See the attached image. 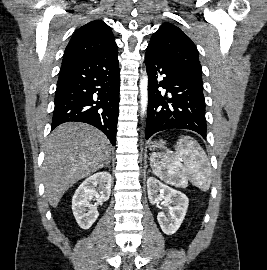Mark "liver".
Listing matches in <instances>:
<instances>
[{"label":"liver","instance_id":"obj_1","mask_svg":"<svg viewBox=\"0 0 267 270\" xmlns=\"http://www.w3.org/2000/svg\"><path fill=\"white\" fill-rule=\"evenodd\" d=\"M111 143L98 129L68 122L49 136L43 163L45 196L55 208L64 193L110 162Z\"/></svg>","mask_w":267,"mask_h":270}]
</instances>
